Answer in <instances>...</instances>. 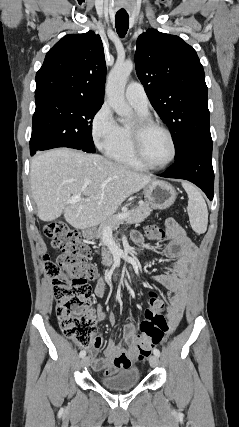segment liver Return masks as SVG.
<instances>
[{"instance_id":"6515ba94","label":"liver","mask_w":239,"mask_h":427,"mask_svg":"<svg viewBox=\"0 0 239 427\" xmlns=\"http://www.w3.org/2000/svg\"><path fill=\"white\" fill-rule=\"evenodd\" d=\"M30 180L40 220L54 221L64 213L71 226L85 230L111 218L152 178L99 154L58 148L31 160ZM78 194L80 202L67 203Z\"/></svg>"}]
</instances>
